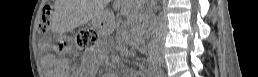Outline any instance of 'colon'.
Masks as SVG:
<instances>
[{
    "label": "colon",
    "instance_id": "obj_1",
    "mask_svg": "<svg viewBox=\"0 0 258 77\" xmlns=\"http://www.w3.org/2000/svg\"><path fill=\"white\" fill-rule=\"evenodd\" d=\"M51 13L49 8H44L39 21L41 31H46L50 27ZM96 35L89 30H81L76 38L75 44L80 48H88L95 44Z\"/></svg>",
    "mask_w": 258,
    "mask_h": 77
}]
</instances>
